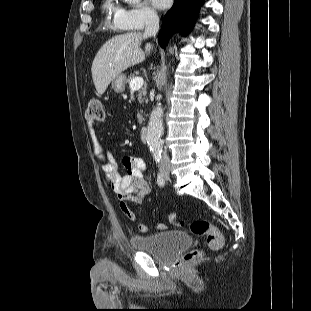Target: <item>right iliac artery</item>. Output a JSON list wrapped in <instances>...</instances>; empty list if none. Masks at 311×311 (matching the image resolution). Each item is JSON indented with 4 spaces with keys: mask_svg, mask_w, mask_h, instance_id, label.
<instances>
[{
    "mask_svg": "<svg viewBox=\"0 0 311 311\" xmlns=\"http://www.w3.org/2000/svg\"><path fill=\"white\" fill-rule=\"evenodd\" d=\"M157 183L160 187H163L165 185V178L161 172H159L157 175Z\"/></svg>",
    "mask_w": 311,
    "mask_h": 311,
    "instance_id": "obj_1",
    "label": "right iliac artery"
}]
</instances>
